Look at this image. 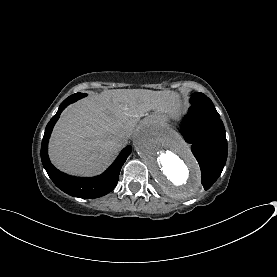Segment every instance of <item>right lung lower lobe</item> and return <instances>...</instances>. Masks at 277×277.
<instances>
[{"label": "right lung lower lobe", "instance_id": "obj_1", "mask_svg": "<svg viewBox=\"0 0 277 277\" xmlns=\"http://www.w3.org/2000/svg\"><path fill=\"white\" fill-rule=\"evenodd\" d=\"M77 94V93H76ZM75 94L66 98L60 105L57 113L52 117L46 126L41 144L42 164L54 184L63 192L79 198H98L111 192L117 185L120 169L131 153V147L124 148L114 163L103 174L91 178H79L67 175L57 170L48 157V141L52 129L58 120L61 112L69 104L79 100Z\"/></svg>", "mask_w": 277, "mask_h": 277}]
</instances>
